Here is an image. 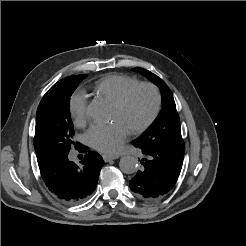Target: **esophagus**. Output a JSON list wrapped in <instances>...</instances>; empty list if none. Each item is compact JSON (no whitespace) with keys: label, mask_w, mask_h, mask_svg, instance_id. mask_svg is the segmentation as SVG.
<instances>
[{"label":"esophagus","mask_w":246,"mask_h":246,"mask_svg":"<svg viewBox=\"0 0 246 246\" xmlns=\"http://www.w3.org/2000/svg\"><path fill=\"white\" fill-rule=\"evenodd\" d=\"M118 158H119L118 155H107V154H104V155H103V160H104L105 162H109V161H111V160L118 159Z\"/></svg>","instance_id":"34e87169"}]
</instances>
